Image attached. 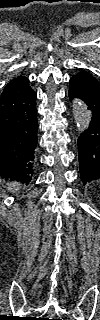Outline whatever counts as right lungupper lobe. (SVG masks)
<instances>
[{
	"label": "right lung upper lobe",
	"instance_id": "obj_1",
	"mask_svg": "<svg viewBox=\"0 0 100 320\" xmlns=\"http://www.w3.org/2000/svg\"><path fill=\"white\" fill-rule=\"evenodd\" d=\"M29 81L26 77L18 76L11 80L6 87L4 88L1 98L3 97H14L19 96L22 93L26 92L29 88Z\"/></svg>",
	"mask_w": 100,
	"mask_h": 320
}]
</instances>
